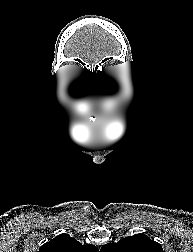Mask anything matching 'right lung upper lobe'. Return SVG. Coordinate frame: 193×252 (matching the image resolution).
I'll return each mask as SVG.
<instances>
[{
	"instance_id": "1",
	"label": "right lung upper lobe",
	"mask_w": 193,
	"mask_h": 252,
	"mask_svg": "<svg viewBox=\"0 0 193 252\" xmlns=\"http://www.w3.org/2000/svg\"><path fill=\"white\" fill-rule=\"evenodd\" d=\"M39 252H99L94 245H82L68 234H61L42 245Z\"/></svg>"
}]
</instances>
